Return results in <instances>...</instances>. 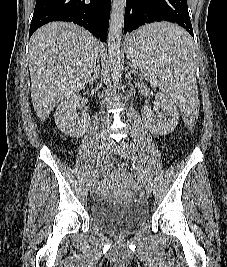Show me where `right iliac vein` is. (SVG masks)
I'll use <instances>...</instances> for the list:
<instances>
[{
  "mask_svg": "<svg viewBox=\"0 0 227 267\" xmlns=\"http://www.w3.org/2000/svg\"><path fill=\"white\" fill-rule=\"evenodd\" d=\"M110 144L106 138H102L100 145H99V151H98V160H97V166L100 167L103 160L105 159L108 150H109ZM97 184V175L93 176L90 181V190L94 189V187Z\"/></svg>",
  "mask_w": 227,
  "mask_h": 267,
  "instance_id": "obj_1",
  "label": "right iliac vein"
}]
</instances>
